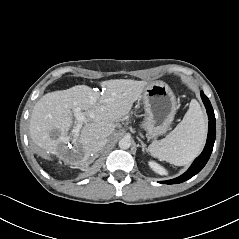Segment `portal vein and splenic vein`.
<instances>
[{
  "mask_svg": "<svg viewBox=\"0 0 239 239\" xmlns=\"http://www.w3.org/2000/svg\"><path fill=\"white\" fill-rule=\"evenodd\" d=\"M74 116H75V118H77V119H80V120L83 119V116H82V113H81L80 108H76V109H75V111H74Z\"/></svg>",
  "mask_w": 239,
  "mask_h": 239,
  "instance_id": "portal-vein-and-splenic-vein-1",
  "label": "portal vein and splenic vein"
}]
</instances>
